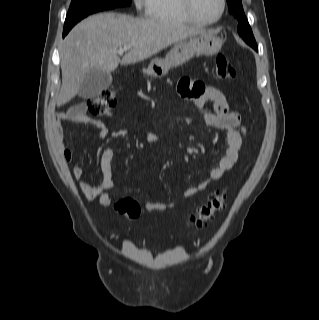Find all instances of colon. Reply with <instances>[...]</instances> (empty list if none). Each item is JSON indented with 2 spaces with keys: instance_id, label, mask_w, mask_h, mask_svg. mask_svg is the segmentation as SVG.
<instances>
[{
  "instance_id": "obj_1",
  "label": "colon",
  "mask_w": 319,
  "mask_h": 320,
  "mask_svg": "<svg viewBox=\"0 0 319 320\" xmlns=\"http://www.w3.org/2000/svg\"><path fill=\"white\" fill-rule=\"evenodd\" d=\"M215 75L220 80H227L235 77L234 67L229 59L222 53L218 54L216 57ZM115 105L116 91L105 90L90 100L88 110L92 115L105 116L111 114ZM225 202L226 194L224 192L212 194L207 202L190 217L191 225L196 228L205 226L215 217L217 212L224 208ZM114 207L119 213L131 219L138 218L141 214V207L133 198H122L115 203Z\"/></svg>"
}]
</instances>
